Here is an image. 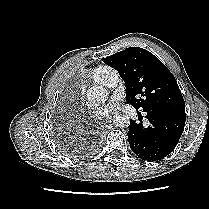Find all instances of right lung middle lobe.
<instances>
[{
  "instance_id": "1",
  "label": "right lung middle lobe",
  "mask_w": 209,
  "mask_h": 209,
  "mask_svg": "<svg viewBox=\"0 0 209 209\" xmlns=\"http://www.w3.org/2000/svg\"><path fill=\"white\" fill-rule=\"evenodd\" d=\"M60 148L65 154H67L70 157H75L80 155L79 152L75 151L73 148H71V146H68L67 144L61 143Z\"/></svg>"
}]
</instances>
